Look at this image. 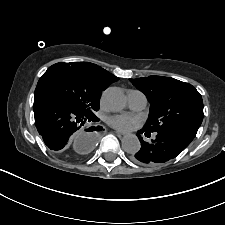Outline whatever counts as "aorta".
I'll return each instance as SVG.
<instances>
[{
    "mask_svg": "<svg viewBox=\"0 0 225 225\" xmlns=\"http://www.w3.org/2000/svg\"><path fill=\"white\" fill-rule=\"evenodd\" d=\"M102 101L104 106L113 112L121 111L126 106V97L118 87L106 89L102 95ZM121 142L123 150L127 153H136L141 147L139 139L134 134L125 135Z\"/></svg>",
    "mask_w": 225,
    "mask_h": 225,
    "instance_id": "obj_1",
    "label": "aorta"
}]
</instances>
